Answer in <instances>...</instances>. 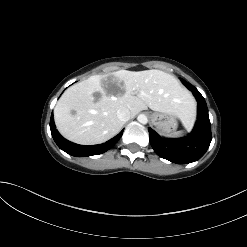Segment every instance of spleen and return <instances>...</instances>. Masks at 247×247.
Here are the masks:
<instances>
[{"instance_id":"obj_1","label":"spleen","mask_w":247,"mask_h":247,"mask_svg":"<svg viewBox=\"0 0 247 247\" xmlns=\"http://www.w3.org/2000/svg\"><path fill=\"white\" fill-rule=\"evenodd\" d=\"M183 133H184L183 131H177V132H174L172 134H169V137L178 138V137H181L183 135Z\"/></svg>"}]
</instances>
